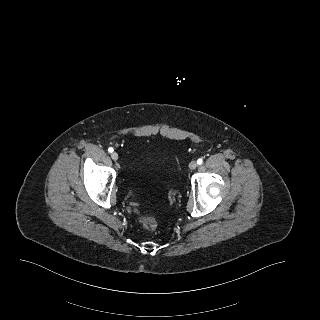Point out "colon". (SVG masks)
Here are the masks:
<instances>
[{
  "mask_svg": "<svg viewBox=\"0 0 320 320\" xmlns=\"http://www.w3.org/2000/svg\"><path fill=\"white\" fill-rule=\"evenodd\" d=\"M140 223L145 229H149V230H154L158 226L157 219L152 216L142 217L140 219Z\"/></svg>",
  "mask_w": 320,
  "mask_h": 320,
  "instance_id": "obj_1",
  "label": "colon"
}]
</instances>
